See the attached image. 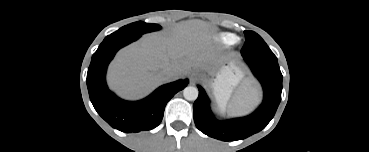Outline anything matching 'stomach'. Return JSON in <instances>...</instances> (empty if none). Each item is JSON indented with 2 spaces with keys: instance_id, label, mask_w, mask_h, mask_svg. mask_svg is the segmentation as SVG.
Masks as SVG:
<instances>
[{
  "instance_id": "1",
  "label": "stomach",
  "mask_w": 369,
  "mask_h": 152,
  "mask_svg": "<svg viewBox=\"0 0 369 152\" xmlns=\"http://www.w3.org/2000/svg\"><path fill=\"white\" fill-rule=\"evenodd\" d=\"M240 78L241 71L233 64L223 68L217 75L212 86L220 110L225 109L232 87L237 84Z\"/></svg>"
}]
</instances>
